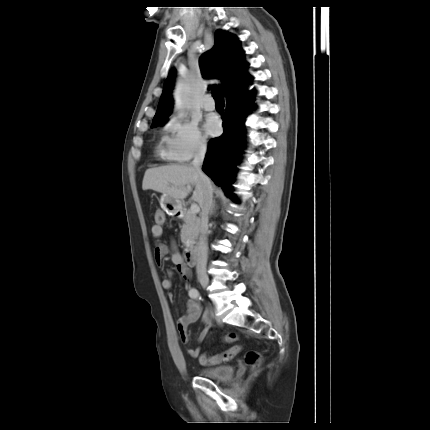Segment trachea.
<instances>
[{
  "label": "trachea",
  "instance_id": "trachea-1",
  "mask_svg": "<svg viewBox=\"0 0 430 430\" xmlns=\"http://www.w3.org/2000/svg\"><path fill=\"white\" fill-rule=\"evenodd\" d=\"M212 96L216 101H223L222 89L219 87H214Z\"/></svg>",
  "mask_w": 430,
  "mask_h": 430
}]
</instances>
